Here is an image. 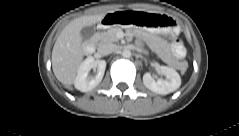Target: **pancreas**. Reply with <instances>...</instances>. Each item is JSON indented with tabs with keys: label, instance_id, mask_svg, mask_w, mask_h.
<instances>
[{
	"label": "pancreas",
	"instance_id": "obj_1",
	"mask_svg": "<svg viewBox=\"0 0 239 136\" xmlns=\"http://www.w3.org/2000/svg\"><path fill=\"white\" fill-rule=\"evenodd\" d=\"M121 31L122 30L119 26L111 27L105 32L98 33L97 38L101 43L118 42L119 38L117 37V33Z\"/></svg>",
	"mask_w": 239,
	"mask_h": 136
}]
</instances>
